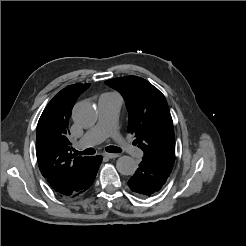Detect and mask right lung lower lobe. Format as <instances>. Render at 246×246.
I'll return each mask as SVG.
<instances>
[{
	"label": "right lung lower lobe",
	"mask_w": 246,
	"mask_h": 246,
	"mask_svg": "<svg viewBox=\"0 0 246 246\" xmlns=\"http://www.w3.org/2000/svg\"><path fill=\"white\" fill-rule=\"evenodd\" d=\"M102 162V156L91 157L85 173L74 183L70 194L65 198H74L87 191L93 184L98 168Z\"/></svg>",
	"instance_id": "right-lung-lower-lobe-1"
}]
</instances>
